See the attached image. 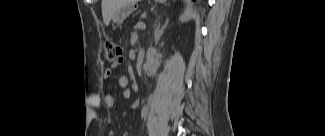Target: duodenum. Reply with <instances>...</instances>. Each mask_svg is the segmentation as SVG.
I'll list each match as a JSON object with an SVG mask.
<instances>
[{"mask_svg": "<svg viewBox=\"0 0 325 136\" xmlns=\"http://www.w3.org/2000/svg\"><path fill=\"white\" fill-rule=\"evenodd\" d=\"M146 60V51L145 50H140L137 55V60L135 64V70L138 73H142L144 71V64Z\"/></svg>", "mask_w": 325, "mask_h": 136, "instance_id": "obj_1", "label": "duodenum"}]
</instances>
